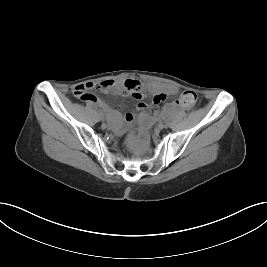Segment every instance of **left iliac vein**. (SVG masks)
<instances>
[{"label": "left iliac vein", "mask_w": 267, "mask_h": 267, "mask_svg": "<svg viewBox=\"0 0 267 267\" xmlns=\"http://www.w3.org/2000/svg\"><path fill=\"white\" fill-rule=\"evenodd\" d=\"M160 126L164 128V127H167V124L164 123V122H161V123H160Z\"/></svg>", "instance_id": "left-iliac-vein-1"}]
</instances>
